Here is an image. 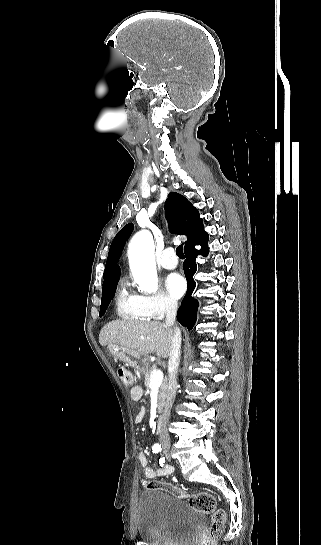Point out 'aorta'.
<instances>
[{"label":"aorta","instance_id":"aorta-1","mask_svg":"<svg viewBox=\"0 0 321 545\" xmlns=\"http://www.w3.org/2000/svg\"><path fill=\"white\" fill-rule=\"evenodd\" d=\"M128 258L133 277L142 292L157 290V273L154 256V241L147 230L138 232L131 240Z\"/></svg>","mask_w":321,"mask_h":545}]
</instances>
